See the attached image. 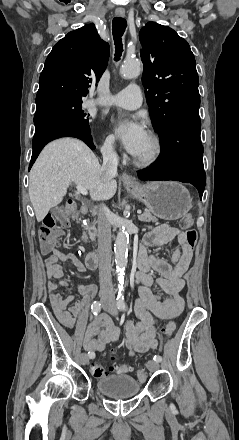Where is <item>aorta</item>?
<instances>
[{"label":"aorta","mask_w":239,"mask_h":440,"mask_svg":"<svg viewBox=\"0 0 239 440\" xmlns=\"http://www.w3.org/2000/svg\"><path fill=\"white\" fill-rule=\"evenodd\" d=\"M140 72L141 62H126V64L120 68V74H122V78H125V80L137 78V76H140ZM128 242L129 236L127 232L120 230L114 244L116 272H118L119 282L128 262Z\"/></svg>","instance_id":"aorta-1"}]
</instances>
